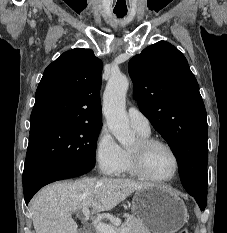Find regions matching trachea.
<instances>
[{
  "mask_svg": "<svg viewBox=\"0 0 227 233\" xmlns=\"http://www.w3.org/2000/svg\"><path fill=\"white\" fill-rule=\"evenodd\" d=\"M118 17H123L127 14V12H114Z\"/></svg>",
  "mask_w": 227,
  "mask_h": 233,
  "instance_id": "1",
  "label": "trachea"
}]
</instances>
